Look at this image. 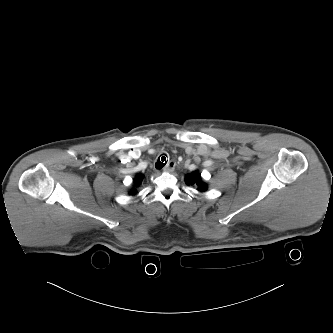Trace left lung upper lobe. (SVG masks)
<instances>
[{
	"label": "left lung upper lobe",
	"mask_w": 333,
	"mask_h": 333,
	"mask_svg": "<svg viewBox=\"0 0 333 333\" xmlns=\"http://www.w3.org/2000/svg\"><path fill=\"white\" fill-rule=\"evenodd\" d=\"M185 183L187 185L197 186L200 192H204L207 189V185L202 181V177L198 172L187 174L185 177Z\"/></svg>",
	"instance_id": "obj_1"
}]
</instances>
